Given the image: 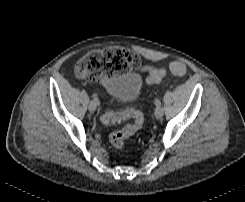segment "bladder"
Here are the masks:
<instances>
[{
	"mask_svg": "<svg viewBox=\"0 0 245 202\" xmlns=\"http://www.w3.org/2000/svg\"><path fill=\"white\" fill-rule=\"evenodd\" d=\"M140 79L136 74H123L110 84L108 93L116 102H125L132 98L139 90Z\"/></svg>",
	"mask_w": 245,
	"mask_h": 202,
	"instance_id": "31cf9c89",
	"label": "bladder"
}]
</instances>
